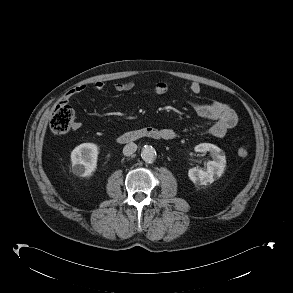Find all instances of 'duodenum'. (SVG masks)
Instances as JSON below:
<instances>
[{
    "label": "duodenum",
    "instance_id": "duodenum-1",
    "mask_svg": "<svg viewBox=\"0 0 293 293\" xmlns=\"http://www.w3.org/2000/svg\"><path fill=\"white\" fill-rule=\"evenodd\" d=\"M141 138L169 140V139H172L173 136L163 132L162 130L154 128V127H144L141 129L128 131V132L121 134L117 138V141L120 144H128V143L134 142L136 140H139Z\"/></svg>",
    "mask_w": 293,
    "mask_h": 293
}]
</instances>
